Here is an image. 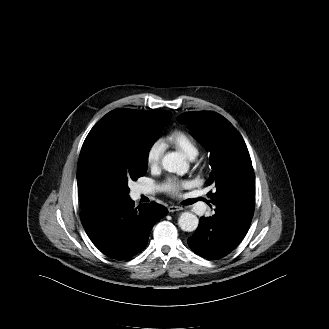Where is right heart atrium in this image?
<instances>
[{"instance_id": "d8ad5b80", "label": "right heart atrium", "mask_w": 329, "mask_h": 329, "mask_svg": "<svg viewBox=\"0 0 329 329\" xmlns=\"http://www.w3.org/2000/svg\"><path fill=\"white\" fill-rule=\"evenodd\" d=\"M165 150V144L161 139L154 140L146 152V163L149 167L157 166Z\"/></svg>"}]
</instances>
